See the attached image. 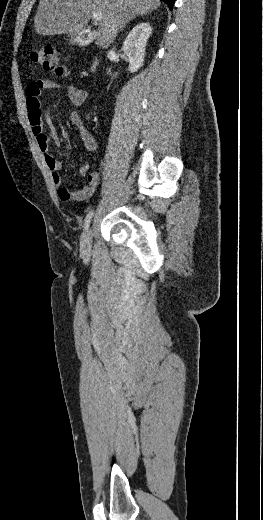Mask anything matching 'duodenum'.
<instances>
[{
    "label": "duodenum",
    "instance_id": "410a0bca",
    "mask_svg": "<svg viewBox=\"0 0 263 520\" xmlns=\"http://www.w3.org/2000/svg\"><path fill=\"white\" fill-rule=\"evenodd\" d=\"M97 64H98V59L95 58V59L93 60L92 66H91V70H92V71H94V70L96 69Z\"/></svg>",
    "mask_w": 263,
    "mask_h": 520
}]
</instances>
